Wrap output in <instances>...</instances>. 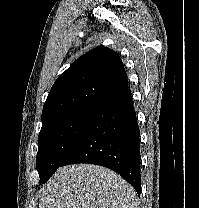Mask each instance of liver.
Listing matches in <instances>:
<instances>
[{
    "label": "liver",
    "mask_w": 199,
    "mask_h": 208,
    "mask_svg": "<svg viewBox=\"0 0 199 208\" xmlns=\"http://www.w3.org/2000/svg\"><path fill=\"white\" fill-rule=\"evenodd\" d=\"M39 208H138L120 175L93 164L60 167L40 191Z\"/></svg>",
    "instance_id": "6515ba94"
}]
</instances>
